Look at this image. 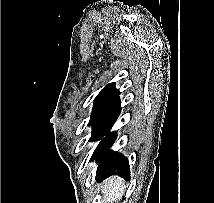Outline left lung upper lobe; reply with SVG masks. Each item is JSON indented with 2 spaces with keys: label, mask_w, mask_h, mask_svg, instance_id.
Masks as SVG:
<instances>
[{
  "label": "left lung upper lobe",
  "mask_w": 214,
  "mask_h": 203,
  "mask_svg": "<svg viewBox=\"0 0 214 203\" xmlns=\"http://www.w3.org/2000/svg\"><path fill=\"white\" fill-rule=\"evenodd\" d=\"M120 91L115 88V83L107 84L97 95L93 105V111L89 126L97 117L119 96Z\"/></svg>",
  "instance_id": "left-lung-upper-lobe-1"
}]
</instances>
